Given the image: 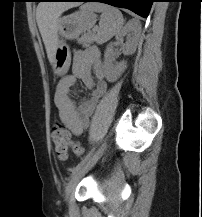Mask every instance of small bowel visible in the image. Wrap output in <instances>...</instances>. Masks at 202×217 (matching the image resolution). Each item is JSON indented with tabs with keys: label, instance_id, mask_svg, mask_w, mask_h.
<instances>
[{
	"label": "small bowel",
	"instance_id": "1",
	"mask_svg": "<svg viewBox=\"0 0 202 217\" xmlns=\"http://www.w3.org/2000/svg\"><path fill=\"white\" fill-rule=\"evenodd\" d=\"M93 74L96 81L93 79ZM78 79L91 90L90 97L79 104L71 97ZM106 90L103 62L98 50L91 48L76 52L73 74L61 79L54 93V103L60 119L73 134L80 135L88 127L90 117Z\"/></svg>",
	"mask_w": 202,
	"mask_h": 217
}]
</instances>
